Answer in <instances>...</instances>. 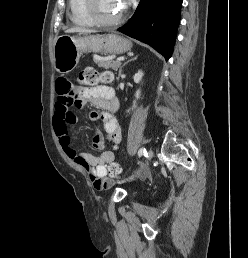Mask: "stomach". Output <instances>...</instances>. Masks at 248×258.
<instances>
[{
	"mask_svg": "<svg viewBox=\"0 0 248 258\" xmlns=\"http://www.w3.org/2000/svg\"><path fill=\"white\" fill-rule=\"evenodd\" d=\"M132 43L117 34L71 37L61 35L54 42V67L59 73L71 72L83 53L121 54L129 51Z\"/></svg>",
	"mask_w": 248,
	"mask_h": 258,
	"instance_id": "0dacf381",
	"label": "stomach"
}]
</instances>
